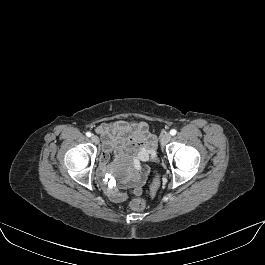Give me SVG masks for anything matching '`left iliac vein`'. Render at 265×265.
Here are the masks:
<instances>
[{
	"instance_id": "left-iliac-vein-1",
	"label": "left iliac vein",
	"mask_w": 265,
	"mask_h": 265,
	"mask_svg": "<svg viewBox=\"0 0 265 265\" xmlns=\"http://www.w3.org/2000/svg\"><path fill=\"white\" fill-rule=\"evenodd\" d=\"M171 139V135L169 133H164L161 138V144L162 146H165Z\"/></svg>"
}]
</instances>
